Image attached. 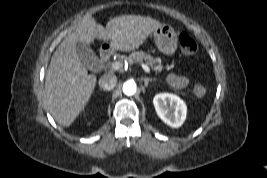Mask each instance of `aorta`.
I'll return each mask as SVG.
<instances>
[{
  "mask_svg": "<svg viewBox=\"0 0 267 178\" xmlns=\"http://www.w3.org/2000/svg\"><path fill=\"white\" fill-rule=\"evenodd\" d=\"M136 90L137 86L133 81H128L123 85V93L127 96L134 95L136 93Z\"/></svg>",
  "mask_w": 267,
  "mask_h": 178,
  "instance_id": "762f6f07",
  "label": "aorta"
}]
</instances>
